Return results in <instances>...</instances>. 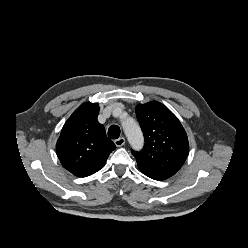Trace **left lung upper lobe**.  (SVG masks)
<instances>
[{"mask_svg": "<svg viewBox=\"0 0 248 248\" xmlns=\"http://www.w3.org/2000/svg\"><path fill=\"white\" fill-rule=\"evenodd\" d=\"M137 119L144 134L141 151L132 150L139 168L173 176L184 164L189 143L177 117L163 104L151 101L136 106Z\"/></svg>", "mask_w": 248, "mask_h": 248, "instance_id": "1", "label": "left lung upper lobe"}]
</instances>
